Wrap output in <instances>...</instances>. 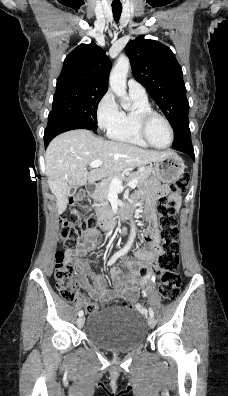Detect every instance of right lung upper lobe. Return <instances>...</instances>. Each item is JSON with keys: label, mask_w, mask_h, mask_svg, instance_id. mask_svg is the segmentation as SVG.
Segmentation results:
<instances>
[{"label": "right lung upper lobe", "mask_w": 228, "mask_h": 396, "mask_svg": "<svg viewBox=\"0 0 228 396\" xmlns=\"http://www.w3.org/2000/svg\"><path fill=\"white\" fill-rule=\"evenodd\" d=\"M111 61L94 42L76 47L64 60L56 87L78 86L107 91Z\"/></svg>", "instance_id": "1"}]
</instances>
